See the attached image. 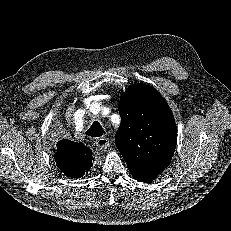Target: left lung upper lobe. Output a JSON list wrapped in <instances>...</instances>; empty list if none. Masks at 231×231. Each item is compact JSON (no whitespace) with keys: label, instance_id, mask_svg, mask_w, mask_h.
Instances as JSON below:
<instances>
[{"label":"left lung upper lobe","instance_id":"5c2ea615","mask_svg":"<svg viewBox=\"0 0 231 231\" xmlns=\"http://www.w3.org/2000/svg\"><path fill=\"white\" fill-rule=\"evenodd\" d=\"M116 146L135 178H155L169 165L177 142L171 109L146 84L131 86L119 102Z\"/></svg>","mask_w":231,"mask_h":231}]
</instances>
